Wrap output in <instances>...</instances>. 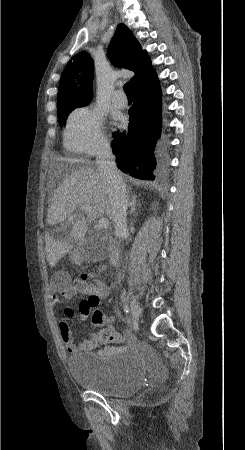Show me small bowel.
<instances>
[{
    "mask_svg": "<svg viewBox=\"0 0 245 450\" xmlns=\"http://www.w3.org/2000/svg\"><path fill=\"white\" fill-rule=\"evenodd\" d=\"M94 291H93V298L97 300L104 299L108 291L110 289V286L106 284L104 281L97 280L94 282ZM76 291L74 286H70L66 291L62 293L53 294L51 296V305L53 307H57L61 303L62 298H69L74 295V292ZM78 317L81 320H87L89 319V312L84 309V303L80 304L79 311H78ZM60 335L61 338L65 344V347L67 351L70 354H78L81 352L86 351H93L95 350L100 342L96 336V334H90L88 335L83 341L80 343L75 342L72 339L71 331H70V325L67 322H62L60 324ZM137 344V341L133 335L128 334L127 335V345L126 346H106L104 347L101 352L105 354H111V355H119L127 351L129 347H133Z\"/></svg>",
    "mask_w": 245,
    "mask_h": 450,
    "instance_id": "1",
    "label": "small bowel"
}]
</instances>
